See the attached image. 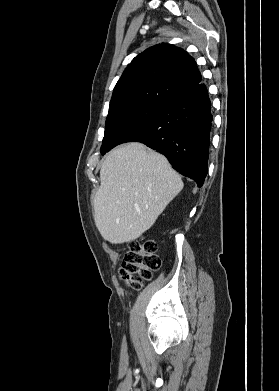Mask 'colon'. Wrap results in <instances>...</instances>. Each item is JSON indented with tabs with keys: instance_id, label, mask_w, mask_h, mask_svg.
<instances>
[{
	"instance_id": "5ec220e1",
	"label": "colon",
	"mask_w": 279,
	"mask_h": 391,
	"mask_svg": "<svg viewBox=\"0 0 279 391\" xmlns=\"http://www.w3.org/2000/svg\"><path fill=\"white\" fill-rule=\"evenodd\" d=\"M157 244L153 240H135L127 244L119 277L134 289H140L143 280H150L153 272L160 269L162 261L156 254Z\"/></svg>"
}]
</instances>
